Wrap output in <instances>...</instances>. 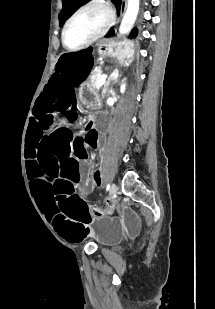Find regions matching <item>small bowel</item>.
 <instances>
[{"label": "small bowel", "instance_id": "c3829d8e", "mask_svg": "<svg viewBox=\"0 0 215 309\" xmlns=\"http://www.w3.org/2000/svg\"><path fill=\"white\" fill-rule=\"evenodd\" d=\"M88 130H90V133L92 134L91 142L93 145L97 146L99 143V138L97 137L95 133L94 124L92 122H89L87 125ZM108 212H111L114 208V202L111 201L110 203L107 202Z\"/></svg>", "mask_w": 215, "mask_h": 309}]
</instances>
